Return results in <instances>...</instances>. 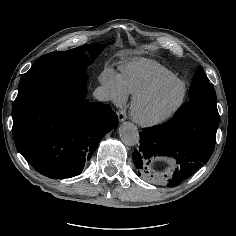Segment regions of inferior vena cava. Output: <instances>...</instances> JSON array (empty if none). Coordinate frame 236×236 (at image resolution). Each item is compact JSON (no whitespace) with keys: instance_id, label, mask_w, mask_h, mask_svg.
Listing matches in <instances>:
<instances>
[{"instance_id":"1","label":"inferior vena cava","mask_w":236,"mask_h":236,"mask_svg":"<svg viewBox=\"0 0 236 236\" xmlns=\"http://www.w3.org/2000/svg\"><path fill=\"white\" fill-rule=\"evenodd\" d=\"M93 96L98 101H109L112 98V93L107 86H99L94 90Z\"/></svg>"}]
</instances>
